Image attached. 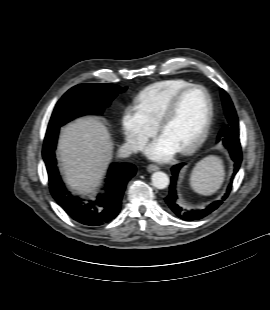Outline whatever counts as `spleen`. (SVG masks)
I'll return each instance as SVG.
<instances>
[{"mask_svg":"<svg viewBox=\"0 0 270 310\" xmlns=\"http://www.w3.org/2000/svg\"><path fill=\"white\" fill-rule=\"evenodd\" d=\"M225 170L222 159L211 155L196 164L190 175V186L198 194L210 196L222 186Z\"/></svg>","mask_w":270,"mask_h":310,"instance_id":"obj_1","label":"spleen"}]
</instances>
